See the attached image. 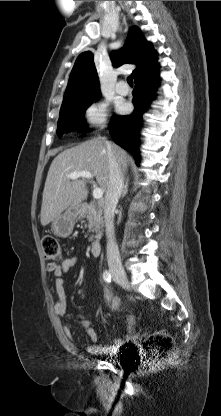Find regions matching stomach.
I'll return each instance as SVG.
<instances>
[{
  "instance_id": "0dacf381",
  "label": "stomach",
  "mask_w": 221,
  "mask_h": 416,
  "mask_svg": "<svg viewBox=\"0 0 221 416\" xmlns=\"http://www.w3.org/2000/svg\"><path fill=\"white\" fill-rule=\"evenodd\" d=\"M78 214V210L66 211L56 217L51 224V229L54 235L62 238L69 237L73 232L75 220Z\"/></svg>"
}]
</instances>
